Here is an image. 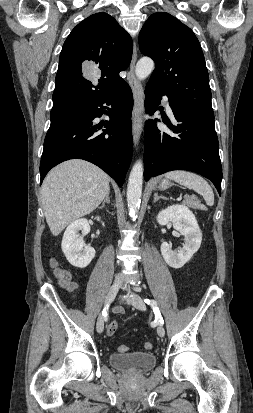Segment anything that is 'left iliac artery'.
<instances>
[{
    "instance_id": "1",
    "label": "left iliac artery",
    "mask_w": 253,
    "mask_h": 413,
    "mask_svg": "<svg viewBox=\"0 0 253 413\" xmlns=\"http://www.w3.org/2000/svg\"><path fill=\"white\" fill-rule=\"evenodd\" d=\"M144 302H145L146 304H148V305L153 309V312H154V314H155L156 320H157L159 323L163 324L164 321H163V318H162V316H161V313H160V310H159V308H158V306H157L156 301L153 300V299H144Z\"/></svg>"
}]
</instances>
